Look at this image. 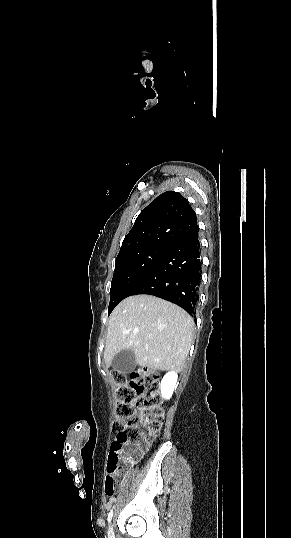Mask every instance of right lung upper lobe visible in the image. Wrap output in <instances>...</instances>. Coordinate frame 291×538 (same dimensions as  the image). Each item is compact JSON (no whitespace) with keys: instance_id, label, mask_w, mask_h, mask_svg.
Wrapping results in <instances>:
<instances>
[{"instance_id":"cb5924a9","label":"right lung upper lobe","mask_w":291,"mask_h":538,"mask_svg":"<svg viewBox=\"0 0 291 538\" xmlns=\"http://www.w3.org/2000/svg\"><path fill=\"white\" fill-rule=\"evenodd\" d=\"M198 231L189 202L180 193L167 191L139 214L118 255L148 245L173 247Z\"/></svg>"}]
</instances>
